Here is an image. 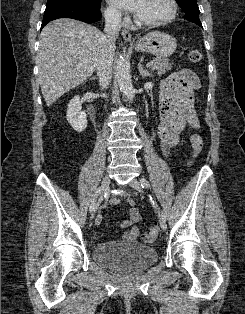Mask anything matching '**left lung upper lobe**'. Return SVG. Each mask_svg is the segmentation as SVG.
<instances>
[{"mask_svg":"<svg viewBox=\"0 0 245 314\" xmlns=\"http://www.w3.org/2000/svg\"><path fill=\"white\" fill-rule=\"evenodd\" d=\"M176 2L185 12L184 19L202 26L199 19V8L196 0H176Z\"/></svg>","mask_w":245,"mask_h":314,"instance_id":"1","label":"left lung upper lobe"}]
</instances>
